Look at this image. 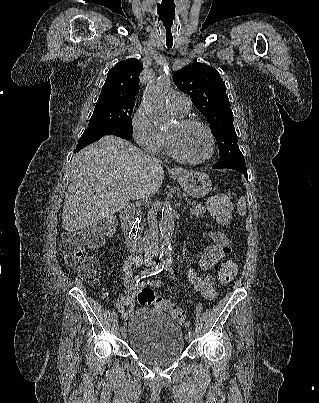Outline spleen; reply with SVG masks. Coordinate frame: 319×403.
<instances>
[{
    "label": "spleen",
    "instance_id": "1",
    "mask_svg": "<svg viewBox=\"0 0 319 403\" xmlns=\"http://www.w3.org/2000/svg\"><path fill=\"white\" fill-rule=\"evenodd\" d=\"M237 208H238V213L241 216L246 215V200L245 197H240L238 204H237Z\"/></svg>",
    "mask_w": 319,
    "mask_h": 403
}]
</instances>
